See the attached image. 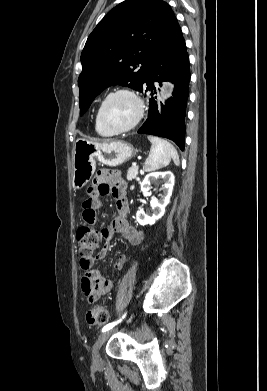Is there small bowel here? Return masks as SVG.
<instances>
[{
    "label": "small bowel",
    "instance_id": "1",
    "mask_svg": "<svg viewBox=\"0 0 267 391\" xmlns=\"http://www.w3.org/2000/svg\"><path fill=\"white\" fill-rule=\"evenodd\" d=\"M112 195L116 202L118 216L101 230L102 237L106 241L103 248L88 263L80 261L83 270L81 277V290L88 303L97 301L103 295L114 289V282L105 278L102 273L93 266L106 258L109 252V241L119 233L131 246H136L143 241L142 231L132 226L127 218L130 204L126 196V184L120 174L112 170H100L93 179L88 197L82 203V218L85 224L93 226L98 219V210L101 208V196ZM126 264V255L121 254L114 262L116 270H123Z\"/></svg>",
    "mask_w": 267,
    "mask_h": 391
}]
</instances>
